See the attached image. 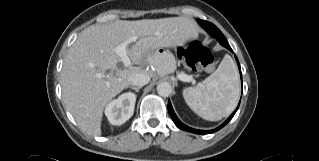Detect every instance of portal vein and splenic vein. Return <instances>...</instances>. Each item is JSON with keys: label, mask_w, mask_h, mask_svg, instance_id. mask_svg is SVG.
Here are the masks:
<instances>
[{"label": "portal vein and splenic vein", "mask_w": 319, "mask_h": 161, "mask_svg": "<svg viewBox=\"0 0 319 161\" xmlns=\"http://www.w3.org/2000/svg\"><path fill=\"white\" fill-rule=\"evenodd\" d=\"M136 38L133 37L125 42H123L122 44L118 45L116 48H115V53L117 54V56L120 58V61H122L123 65L125 67H130L131 65V61H130V58L127 54V46L135 41ZM178 79H180L181 81H184V82H191L193 81V77L190 76V75H187V74H179L178 75Z\"/></svg>", "instance_id": "obj_1"}]
</instances>
